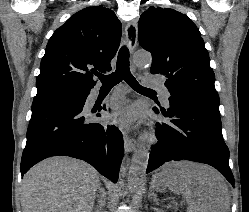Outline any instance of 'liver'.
Returning a JSON list of instances; mask_svg holds the SVG:
<instances>
[{"label": "liver", "mask_w": 249, "mask_h": 212, "mask_svg": "<svg viewBox=\"0 0 249 212\" xmlns=\"http://www.w3.org/2000/svg\"><path fill=\"white\" fill-rule=\"evenodd\" d=\"M99 174L81 160L47 158L33 166L22 182L23 212H93ZM156 192L171 190L189 202L187 212H230L226 182L214 168L196 162H173L152 176Z\"/></svg>", "instance_id": "obj_1"}]
</instances>
